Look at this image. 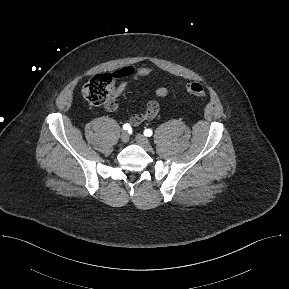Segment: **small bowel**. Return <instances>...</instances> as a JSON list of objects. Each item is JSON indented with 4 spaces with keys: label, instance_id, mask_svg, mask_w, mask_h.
<instances>
[{
    "label": "small bowel",
    "instance_id": "1",
    "mask_svg": "<svg viewBox=\"0 0 289 289\" xmlns=\"http://www.w3.org/2000/svg\"><path fill=\"white\" fill-rule=\"evenodd\" d=\"M152 72V69L147 66L134 67L125 66L113 73V78L119 80L118 84H114L111 87V96L116 99L127 87L128 83L132 79L138 77L147 76ZM155 96L158 98H165L168 96V90L165 87H159L155 90ZM159 112V103L155 100L148 102L144 111L134 114L130 117V123L133 126H138L145 121L154 119Z\"/></svg>",
    "mask_w": 289,
    "mask_h": 289
}]
</instances>
